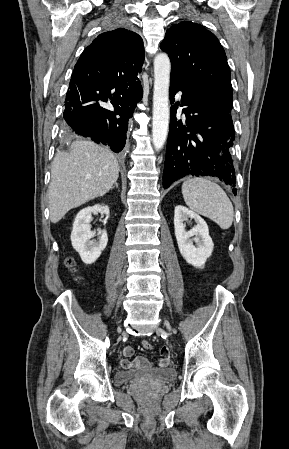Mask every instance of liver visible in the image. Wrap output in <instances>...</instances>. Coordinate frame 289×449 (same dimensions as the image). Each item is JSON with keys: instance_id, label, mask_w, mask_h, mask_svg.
Listing matches in <instances>:
<instances>
[{"instance_id": "liver-1", "label": "liver", "mask_w": 289, "mask_h": 449, "mask_svg": "<svg viewBox=\"0 0 289 449\" xmlns=\"http://www.w3.org/2000/svg\"><path fill=\"white\" fill-rule=\"evenodd\" d=\"M118 176V160L109 149L91 141L73 142L70 151L58 153L51 165V222H59L69 210L106 194Z\"/></svg>"}]
</instances>
